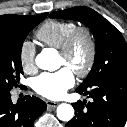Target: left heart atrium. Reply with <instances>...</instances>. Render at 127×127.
Here are the masks:
<instances>
[{"mask_svg":"<svg viewBox=\"0 0 127 127\" xmlns=\"http://www.w3.org/2000/svg\"><path fill=\"white\" fill-rule=\"evenodd\" d=\"M75 83L72 70L67 67L56 72L42 73L33 80L34 90L43 97L60 99Z\"/></svg>","mask_w":127,"mask_h":127,"instance_id":"left-heart-atrium-1","label":"left heart atrium"}]
</instances>
